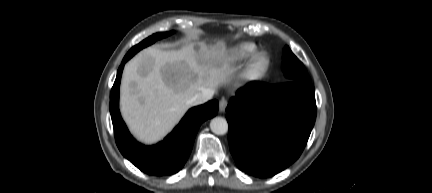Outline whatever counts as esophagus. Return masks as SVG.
<instances>
[{"instance_id": "obj_1", "label": "esophagus", "mask_w": 432, "mask_h": 193, "mask_svg": "<svg viewBox=\"0 0 432 193\" xmlns=\"http://www.w3.org/2000/svg\"><path fill=\"white\" fill-rule=\"evenodd\" d=\"M227 105H228L227 100L224 99V98H222V99L219 101V111H220L221 113L225 112Z\"/></svg>"}]
</instances>
